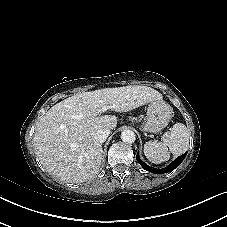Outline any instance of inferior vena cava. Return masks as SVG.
I'll use <instances>...</instances> for the list:
<instances>
[{
  "mask_svg": "<svg viewBox=\"0 0 227 227\" xmlns=\"http://www.w3.org/2000/svg\"><path fill=\"white\" fill-rule=\"evenodd\" d=\"M110 134V129L104 128L96 131L94 139L99 143H104Z\"/></svg>",
  "mask_w": 227,
  "mask_h": 227,
  "instance_id": "inferior-vena-cava-1",
  "label": "inferior vena cava"
}]
</instances>
